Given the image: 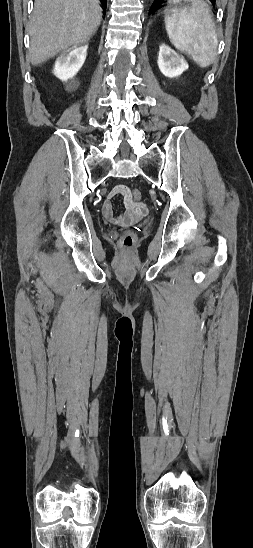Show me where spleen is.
<instances>
[{"label":"spleen","instance_id":"spleen-1","mask_svg":"<svg viewBox=\"0 0 253 548\" xmlns=\"http://www.w3.org/2000/svg\"><path fill=\"white\" fill-rule=\"evenodd\" d=\"M182 0H173L174 4ZM190 6L166 10L165 25L176 49L191 56L201 68L211 65L217 55L218 40L209 6L203 0H183Z\"/></svg>","mask_w":253,"mask_h":548}]
</instances>
